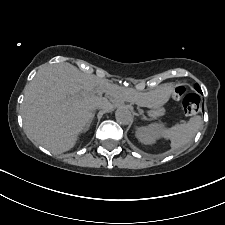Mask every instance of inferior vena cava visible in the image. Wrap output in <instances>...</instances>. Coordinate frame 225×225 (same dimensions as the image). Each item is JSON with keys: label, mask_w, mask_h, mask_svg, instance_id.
Wrapping results in <instances>:
<instances>
[{"label": "inferior vena cava", "mask_w": 225, "mask_h": 225, "mask_svg": "<svg viewBox=\"0 0 225 225\" xmlns=\"http://www.w3.org/2000/svg\"><path fill=\"white\" fill-rule=\"evenodd\" d=\"M96 108H103V106L97 105V106H95V109H96Z\"/></svg>", "instance_id": "inferior-vena-cava-1"}]
</instances>
